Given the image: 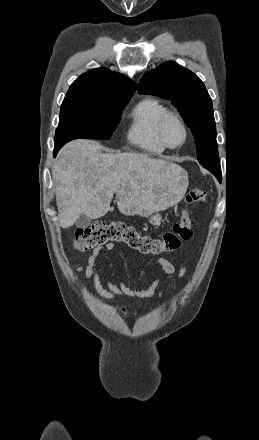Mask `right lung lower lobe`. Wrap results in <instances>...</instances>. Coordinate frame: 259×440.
Here are the masks:
<instances>
[{"mask_svg":"<svg viewBox=\"0 0 259 440\" xmlns=\"http://www.w3.org/2000/svg\"><path fill=\"white\" fill-rule=\"evenodd\" d=\"M62 144H55V148H54V156H56L57 152L59 151V149L62 147Z\"/></svg>","mask_w":259,"mask_h":440,"instance_id":"obj_1","label":"right lung lower lobe"}]
</instances>
